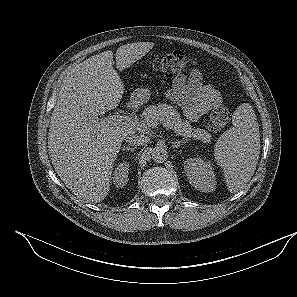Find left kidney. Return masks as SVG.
I'll return each mask as SVG.
<instances>
[{
    "label": "left kidney",
    "mask_w": 297,
    "mask_h": 297,
    "mask_svg": "<svg viewBox=\"0 0 297 297\" xmlns=\"http://www.w3.org/2000/svg\"><path fill=\"white\" fill-rule=\"evenodd\" d=\"M184 170L195 189L205 193L215 190L216 178L211 163L201 158H190L184 162Z\"/></svg>",
    "instance_id": "left-kidney-1"
}]
</instances>
